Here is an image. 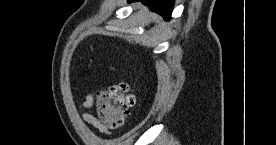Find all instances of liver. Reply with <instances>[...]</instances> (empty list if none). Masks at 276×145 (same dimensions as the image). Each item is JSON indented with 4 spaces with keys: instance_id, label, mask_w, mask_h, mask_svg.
Returning <instances> with one entry per match:
<instances>
[{
    "instance_id": "liver-1",
    "label": "liver",
    "mask_w": 276,
    "mask_h": 145,
    "mask_svg": "<svg viewBox=\"0 0 276 145\" xmlns=\"http://www.w3.org/2000/svg\"><path fill=\"white\" fill-rule=\"evenodd\" d=\"M145 10L148 12V9L145 8ZM152 16H155L154 14H151Z\"/></svg>"
}]
</instances>
